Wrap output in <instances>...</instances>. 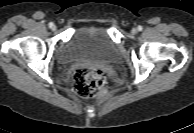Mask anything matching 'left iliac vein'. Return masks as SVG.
Masks as SVG:
<instances>
[{
  "instance_id": "1",
  "label": "left iliac vein",
  "mask_w": 194,
  "mask_h": 133,
  "mask_svg": "<svg viewBox=\"0 0 194 133\" xmlns=\"http://www.w3.org/2000/svg\"><path fill=\"white\" fill-rule=\"evenodd\" d=\"M131 32H132L133 34H136V33H137V29H136V28H133V29L131 30Z\"/></svg>"
}]
</instances>
